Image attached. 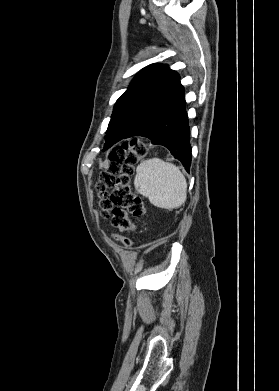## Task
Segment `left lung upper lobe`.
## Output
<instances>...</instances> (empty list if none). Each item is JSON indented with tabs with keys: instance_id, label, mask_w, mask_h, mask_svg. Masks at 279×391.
I'll return each mask as SVG.
<instances>
[{
	"instance_id": "1",
	"label": "left lung upper lobe",
	"mask_w": 279,
	"mask_h": 391,
	"mask_svg": "<svg viewBox=\"0 0 279 391\" xmlns=\"http://www.w3.org/2000/svg\"><path fill=\"white\" fill-rule=\"evenodd\" d=\"M183 95L178 73L167 65L151 64L143 68L115 103L104 150L137 134Z\"/></svg>"
}]
</instances>
